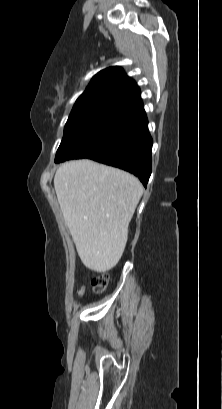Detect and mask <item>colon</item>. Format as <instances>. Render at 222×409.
<instances>
[{
	"instance_id": "5ec220e1",
	"label": "colon",
	"mask_w": 222,
	"mask_h": 409,
	"mask_svg": "<svg viewBox=\"0 0 222 409\" xmlns=\"http://www.w3.org/2000/svg\"><path fill=\"white\" fill-rule=\"evenodd\" d=\"M108 282H109L108 276L106 274H102L94 277L91 281V285L95 292L101 293L106 290Z\"/></svg>"
}]
</instances>
